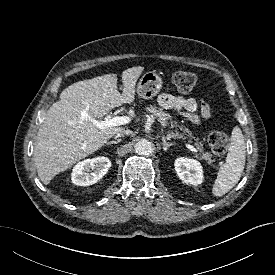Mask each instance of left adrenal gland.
Segmentation results:
<instances>
[{"label": "left adrenal gland", "instance_id": "obj_1", "mask_svg": "<svg viewBox=\"0 0 275 275\" xmlns=\"http://www.w3.org/2000/svg\"><path fill=\"white\" fill-rule=\"evenodd\" d=\"M162 142H163V150L166 152L170 146H172V143H168L165 139V137H162Z\"/></svg>", "mask_w": 275, "mask_h": 275}]
</instances>
